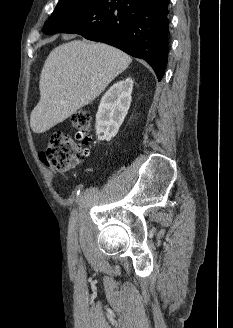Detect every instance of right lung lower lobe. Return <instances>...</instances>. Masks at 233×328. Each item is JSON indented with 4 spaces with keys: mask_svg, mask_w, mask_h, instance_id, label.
<instances>
[{
    "mask_svg": "<svg viewBox=\"0 0 233 328\" xmlns=\"http://www.w3.org/2000/svg\"><path fill=\"white\" fill-rule=\"evenodd\" d=\"M169 0H95L57 20L49 34L74 33L146 60L160 81L168 59Z\"/></svg>",
    "mask_w": 233,
    "mask_h": 328,
    "instance_id": "right-lung-lower-lobe-1",
    "label": "right lung lower lobe"
}]
</instances>
